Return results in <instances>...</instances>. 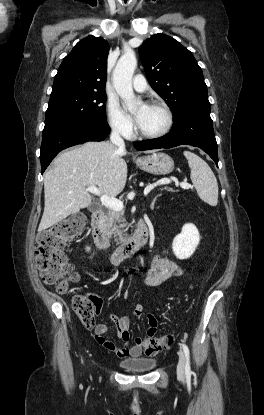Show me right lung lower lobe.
<instances>
[{"instance_id":"right-lung-lower-lobe-1","label":"right lung lower lobe","mask_w":264,"mask_h":415,"mask_svg":"<svg viewBox=\"0 0 264 415\" xmlns=\"http://www.w3.org/2000/svg\"><path fill=\"white\" fill-rule=\"evenodd\" d=\"M110 132L107 121L84 120L44 127L40 150L41 173L63 149L87 141H102Z\"/></svg>"}]
</instances>
